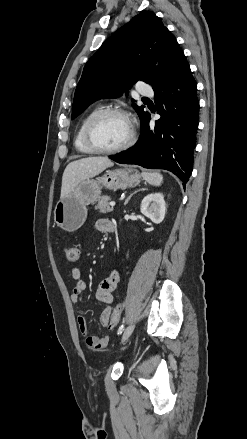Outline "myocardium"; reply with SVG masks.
<instances>
[{
  "mask_svg": "<svg viewBox=\"0 0 247 439\" xmlns=\"http://www.w3.org/2000/svg\"><path fill=\"white\" fill-rule=\"evenodd\" d=\"M108 116H120L125 118L129 125H130V135L128 139L120 146L115 148H103L99 146L95 139H94V130L96 125L105 117ZM136 139V133L134 129V125L128 115V113L122 109H116V108H108L98 111L96 114H94L89 121L87 122L85 129H84V141L85 144L94 152V153H100V154H115L122 152L129 147H131Z\"/></svg>",
  "mask_w": 247,
  "mask_h": 439,
  "instance_id": "1",
  "label": "myocardium"
}]
</instances>
